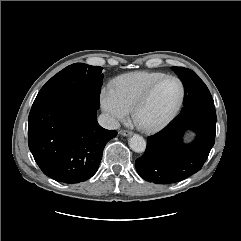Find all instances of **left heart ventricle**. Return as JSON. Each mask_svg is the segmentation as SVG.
<instances>
[{
  "label": "left heart ventricle",
  "mask_w": 241,
  "mask_h": 241,
  "mask_svg": "<svg viewBox=\"0 0 241 241\" xmlns=\"http://www.w3.org/2000/svg\"><path fill=\"white\" fill-rule=\"evenodd\" d=\"M179 96L180 86L177 81L173 79L163 81L139 110L138 121L142 124H152L163 119L176 105Z\"/></svg>",
  "instance_id": "b2bd125f"
}]
</instances>
